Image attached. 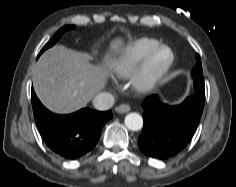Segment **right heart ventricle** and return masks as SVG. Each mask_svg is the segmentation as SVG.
<instances>
[{
    "label": "right heart ventricle",
    "mask_w": 236,
    "mask_h": 187,
    "mask_svg": "<svg viewBox=\"0 0 236 187\" xmlns=\"http://www.w3.org/2000/svg\"><path fill=\"white\" fill-rule=\"evenodd\" d=\"M159 44L157 39L149 37L132 40L108 58L107 68L119 77H128Z\"/></svg>",
    "instance_id": "right-heart-ventricle-1"
}]
</instances>
